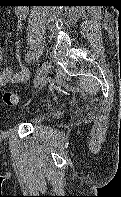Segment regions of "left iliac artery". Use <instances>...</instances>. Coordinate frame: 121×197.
Masks as SVG:
<instances>
[{
	"label": "left iliac artery",
	"mask_w": 121,
	"mask_h": 197,
	"mask_svg": "<svg viewBox=\"0 0 121 197\" xmlns=\"http://www.w3.org/2000/svg\"><path fill=\"white\" fill-rule=\"evenodd\" d=\"M34 57H35L34 53L30 52V53L26 54L25 61L26 62H30V61H32L34 59Z\"/></svg>",
	"instance_id": "obj_1"
}]
</instances>
